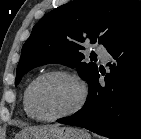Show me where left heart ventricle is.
<instances>
[{"label": "left heart ventricle", "instance_id": "obj_1", "mask_svg": "<svg viewBox=\"0 0 141 139\" xmlns=\"http://www.w3.org/2000/svg\"><path fill=\"white\" fill-rule=\"evenodd\" d=\"M77 84L63 76H50L37 83L32 100L35 110L42 116H54L70 109L77 101Z\"/></svg>", "mask_w": 141, "mask_h": 139}]
</instances>
